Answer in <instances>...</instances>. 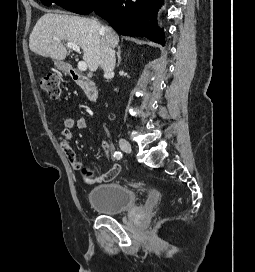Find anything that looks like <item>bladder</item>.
I'll list each match as a JSON object with an SVG mask.
<instances>
[{"mask_svg":"<svg viewBox=\"0 0 255 272\" xmlns=\"http://www.w3.org/2000/svg\"><path fill=\"white\" fill-rule=\"evenodd\" d=\"M90 205L101 215L117 216L137 204L136 193L119 183H104L92 188L88 193Z\"/></svg>","mask_w":255,"mask_h":272,"instance_id":"31cf9c89","label":"bladder"}]
</instances>
